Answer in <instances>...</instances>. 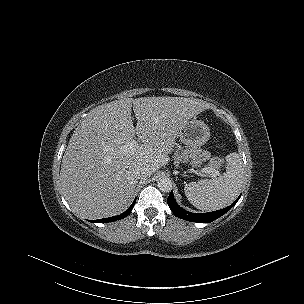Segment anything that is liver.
I'll return each instance as SVG.
<instances>
[{
	"instance_id": "liver-1",
	"label": "liver",
	"mask_w": 304,
	"mask_h": 304,
	"mask_svg": "<svg viewBox=\"0 0 304 304\" xmlns=\"http://www.w3.org/2000/svg\"><path fill=\"white\" fill-rule=\"evenodd\" d=\"M206 108L202 100L163 96L120 99L93 109L74 130L62 159L61 187L72 210L90 219L122 213L138 182L136 168L154 173L164 166L179 131ZM136 136L142 144L125 150Z\"/></svg>"
}]
</instances>
